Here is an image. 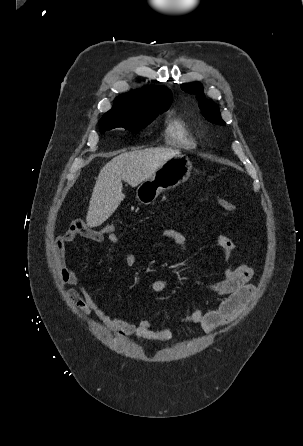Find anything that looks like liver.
<instances>
[{
    "instance_id": "6515ba94",
    "label": "liver",
    "mask_w": 303,
    "mask_h": 446,
    "mask_svg": "<svg viewBox=\"0 0 303 446\" xmlns=\"http://www.w3.org/2000/svg\"><path fill=\"white\" fill-rule=\"evenodd\" d=\"M179 154L174 149L151 148L124 152L105 164L93 188L86 216L87 226H99L114 213L125 198L122 180L136 187Z\"/></svg>"
}]
</instances>
